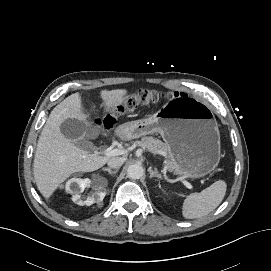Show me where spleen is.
Masks as SVG:
<instances>
[{
	"label": "spleen",
	"instance_id": "spleen-1",
	"mask_svg": "<svg viewBox=\"0 0 271 271\" xmlns=\"http://www.w3.org/2000/svg\"><path fill=\"white\" fill-rule=\"evenodd\" d=\"M226 189V183L219 180L199 193L189 194L183 202V217L196 219L208 215L220 205L226 194Z\"/></svg>",
	"mask_w": 271,
	"mask_h": 271
}]
</instances>
